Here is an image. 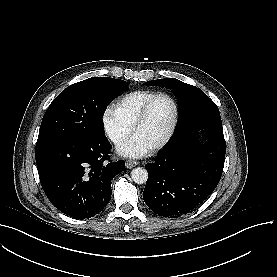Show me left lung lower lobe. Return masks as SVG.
<instances>
[{
	"mask_svg": "<svg viewBox=\"0 0 277 277\" xmlns=\"http://www.w3.org/2000/svg\"><path fill=\"white\" fill-rule=\"evenodd\" d=\"M204 128V132L209 135L207 144L200 146L193 131L181 141L163 149L154 163L145 165L148 179L143 199L153 212L169 218L190 213L216 188L224 161H201L199 167L206 172L197 171L198 174L184 172L178 164L180 160L198 158L202 150L213 148L226 152L223 130Z\"/></svg>",
	"mask_w": 277,
	"mask_h": 277,
	"instance_id": "obj_1",
	"label": "left lung lower lobe"
}]
</instances>
